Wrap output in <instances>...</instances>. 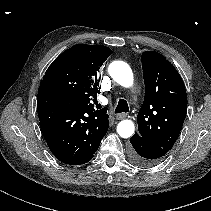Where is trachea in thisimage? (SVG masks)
Returning a JSON list of instances; mask_svg holds the SVG:
<instances>
[{
    "label": "trachea",
    "instance_id": "obj_1",
    "mask_svg": "<svg viewBox=\"0 0 211 211\" xmlns=\"http://www.w3.org/2000/svg\"><path fill=\"white\" fill-rule=\"evenodd\" d=\"M96 108L100 109L101 108V104H96ZM127 113L129 112V107H128V103L125 99H119L117 107L115 109V113Z\"/></svg>",
    "mask_w": 211,
    "mask_h": 211
}]
</instances>
